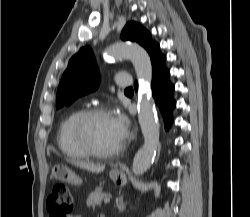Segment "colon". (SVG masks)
Returning a JSON list of instances; mask_svg holds the SVG:
<instances>
[{
  "label": "colon",
  "mask_w": 250,
  "mask_h": 217,
  "mask_svg": "<svg viewBox=\"0 0 250 217\" xmlns=\"http://www.w3.org/2000/svg\"><path fill=\"white\" fill-rule=\"evenodd\" d=\"M46 207L49 217H69L73 209V196L70 188L63 183L54 185Z\"/></svg>",
  "instance_id": "obj_1"
}]
</instances>
